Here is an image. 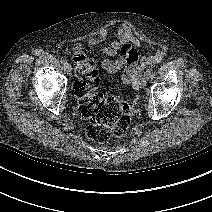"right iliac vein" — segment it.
Returning <instances> with one entry per match:
<instances>
[{
  "label": "right iliac vein",
  "mask_w": 212,
  "mask_h": 212,
  "mask_svg": "<svg viewBox=\"0 0 212 212\" xmlns=\"http://www.w3.org/2000/svg\"><path fill=\"white\" fill-rule=\"evenodd\" d=\"M64 67H65V70L67 71V73L70 74L71 73V65L66 63V64H64Z\"/></svg>",
  "instance_id": "63e3f726"
}]
</instances>
